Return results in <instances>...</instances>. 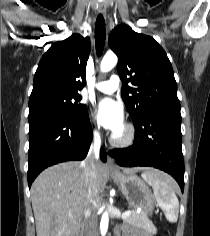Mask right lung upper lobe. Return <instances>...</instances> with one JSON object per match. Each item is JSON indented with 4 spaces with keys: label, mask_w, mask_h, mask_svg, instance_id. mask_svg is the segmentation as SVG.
Wrapping results in <instances>:
<instances>
[{
    "label": "right lung upper lobe",
    "mask_w": 210,
    "mask_h": 236,
    "mask_svg": "<svg viewBox=\"0 0 210 236\" xmlns=\"http://www.w3.org/2000/svg\"><path fill=\"white\" fill-rule=\"evenodd\" d=\"M89 53V39L79 34L54 43L39 62L29 101L47 93L80 95Z\"/></svg>",
    "instance_id": "obj_1"
}]
</instances>
